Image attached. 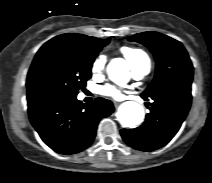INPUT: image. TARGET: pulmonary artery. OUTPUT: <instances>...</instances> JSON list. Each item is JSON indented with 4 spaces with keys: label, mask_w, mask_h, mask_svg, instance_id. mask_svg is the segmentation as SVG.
Segmentation results:
<instances>
[{
    "label": "pulmonary artery",
    "mask_w": 212,
    "mask_h": 183,
    "mask_svg": "<svg viewBox=\"0 0 212 183\" xmlns=\"http://www.w3.org/2000/svg\"><path fill=\"white\" fill-rule=\"evenodd\" d=\"M150 71V66H141L137 68H133V76L137 79H140L147 75Z\"/></svg>",
    "instance_id": "e3ab8cb5"
}]
</instances>
